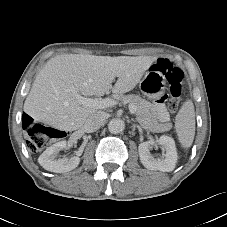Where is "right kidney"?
Returning a JSON list of instances; mask_svg holds the SVG:
<instances>
[{
  "label": "right kidney",
  "mask_w": 227,
  "mask_h": 227,
  "mask_svg": "<svg viewBox=\"0 0 227 227\" xmlns=\"http://www.w3.org/2000/svg\"><path fill=\"white\" fill-rule=\"evenodd\" d=\"M64 148H66V141H60L48 147L38 158L39 164L44 169L55 173H64L75 169L80 162L79 156L56 159V155Z\"/></svg>",
  "instance_id": "1"
}]
</instances>
